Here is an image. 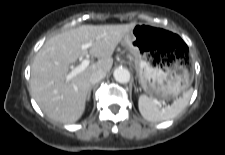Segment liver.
Instances as JSON below:
<instances>
[{
    "label": "liver",
    "mask_w": 225,
    "mask_h": 155,
    "mask_svg": "<svg viewBox=\"0 0 225 155\" xmlns=\"http://www.w3.org/2000/svg\"><path fill=\"white\" fill-rule=\"evenodd\" d=\"M135 25H82L47 40L35 56L30 78L32 96L43 113L62 123L79 120L85 111L91 74L110 71L115 48ZM89 42L90 48L83 50L81 45ZM88 54L98 61L67 80L69 65Z\"/></svg>",
    "instance_id": "obj_1"
}]
</instances>
